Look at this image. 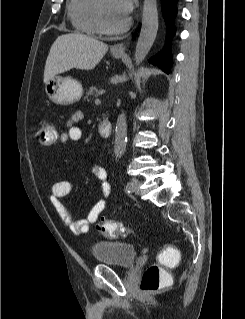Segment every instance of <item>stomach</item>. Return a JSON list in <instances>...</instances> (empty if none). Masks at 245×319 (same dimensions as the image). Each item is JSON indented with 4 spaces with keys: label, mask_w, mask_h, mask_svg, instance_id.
Returning a JSON list of instances; mask_svg holds the SVG:
<instances>
[{
    "label": "stomach",
    "mask_w": 245,
    "mask_h": 319,
    "mask_svg": "<svg viewBox=\"0 0 245 319\" xmlns=\"http://www.w3.org/2000/svg\"><path fill=\"white\" fill-rule=\"evenodd\" d=\"M115 58L122 54L113 53ZM49 99L57 105H70L80 100L83 93L81 83L72 77L54 76L45 84Z\"/></svg>",
    "instance_id": "stomach-1"
}]
</instances>
